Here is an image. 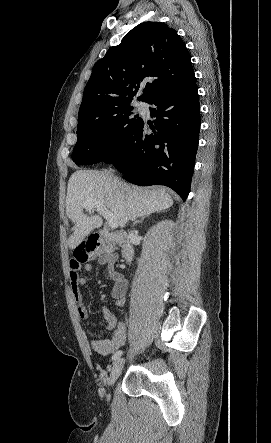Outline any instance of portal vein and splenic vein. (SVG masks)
Segmentation results:
<instances>
[{
	"mask_svg": "<svg viewBox=\"0 0 271 443\" xmlns=\"http://www.w3.org/2000/svg\"><path fill=\"white\" fill-rule=\"evenodd\" d=\"M83 208H85V210H89V212H91V210H94V208H97L99 214H101V216H104L110 227H118L119 222L117 218H115L114 214H112V212H109V210H107V208H105L103 204H100V202H88V204H84Z\"/></svg>",
	"mask_w": 271,
	"mask_h": 443,
	"instance_id": "18ae733b",
	"label": "portal vein and splenic vein"
}]
</instances>
